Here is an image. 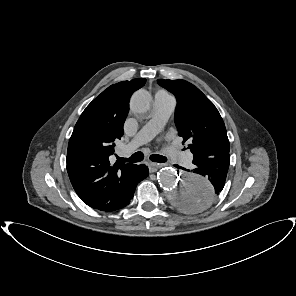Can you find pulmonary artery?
Masks as SVG:
<instances>
[{
	"label": "pulmonary artery",
	"instance_id": "1",
	"mask_svg": "<svg viewBox=\"0 0 296 296\" xmlns=\"http://www.w3.org/2000/svg\"><path fill=\"white\" fill-rule=\"evenodd\" d=\"M176 107V99L173 95L165 92L158 91L155 94V108L151 119L140 129L136 136L127 145L126 150L131 151L137 147L150 141L156 136L164 127L168 118L172 114ZM166 153L173 160L179 162L182 165L188 166L192 161V154L187 152H181L174 147H168Z\"/></svg>",
	"mask_w": 296,
	"mask_h": 296
}]
</instances>
